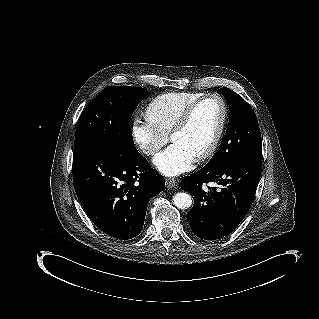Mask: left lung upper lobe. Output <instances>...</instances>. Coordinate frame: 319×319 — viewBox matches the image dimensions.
<instances>
[{
	"label": "left lung upper lobe",
	"mask_w": 319,
	"mask_h": 319,
	"mask_svg": "<svg viewBox=\"0 0 319 319\" xmlns=\"http://www.w3.org/2000/svg\"><path fill=\"white\" fill-rule=\"evenodd\" d=\"M226 97L230 120L221 145L207 164H225L248 156H262V141L252 107L229 88L217 91Z\"/></svg>",
	"instance_id": "left-lung-upper-lobe-1"
}]
</instances>
